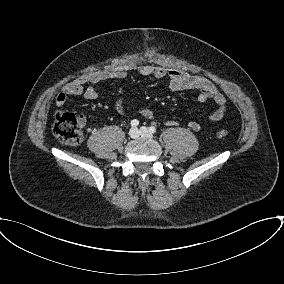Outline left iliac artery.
Wrapping results in <instances>:
<instances>
[{
	"mask_svg": "<svg viewBox=\"0 0 284 284\" xmlns=\"http://www.w3.org/2000/svg\"><path fill=\"white\" fill-rule=\"evenodd\" d=\"M149 130L151 133H156V128L154 126H151Z\"/></svg>",
	"mask_w": 284,
	"mask_h": 284,
	"instance_id": "obj_1",
	"label": "left iliac artery"
}]
</instances>
